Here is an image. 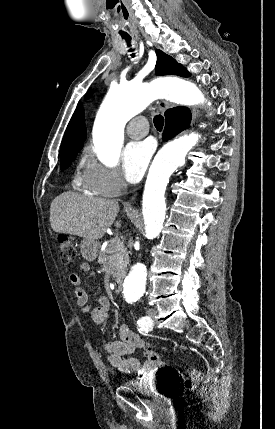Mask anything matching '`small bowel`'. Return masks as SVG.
<instances>
[{
	"instance_id": "1",
	"label": "small bowel",
	"mask_w": 275,
	"mask_h": 429,
	"mask_svg": "<svg viewBox=\"0 0 275 429\" xmlns=\"http://www.w3.org/2000/svg\"><path fill=\"white\" fill-rule=\"evenodd\" d=\"M80 272H88L90 266L87 262H82L78 267ZM70 283L74 288L76 304L83 313H89L91 320L96 325H102L109 315V300L101 296L97 299L96 306L92 307L88 302V297L81 286V280L78 274H71ZM146 349V342L136 333L131 331L127 325L122 324L119 329V340L110 341L105 345L108 363L123 373L142 372L152 370L153 364L150 362L142 363L136 358L128 357L136 349Z\"/></svg>"
}]
</instances>
